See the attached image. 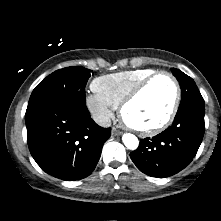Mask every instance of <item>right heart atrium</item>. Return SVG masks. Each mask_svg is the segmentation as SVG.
Instances as JSON below:
<instances>
[{
	"label": "right heart atrium",
	"instance_id": "d8ad5b80",
	"mask_svg": "<svg viewBox=\"0 0 221 221\" xmlns=\"http://www.w3.org/2000/svg\"><path fill=\"white\" fill-rule=\"evenodd\" d=\"M86 105L94 117L102 124L108 123L113 117V108L97 94L86 96Z\"/></svg>",
	"mask_w": 221,
	"mask_h": 221
}]
</instances>
